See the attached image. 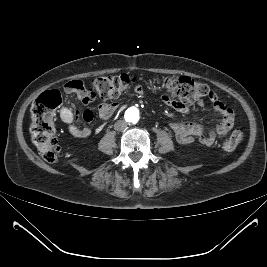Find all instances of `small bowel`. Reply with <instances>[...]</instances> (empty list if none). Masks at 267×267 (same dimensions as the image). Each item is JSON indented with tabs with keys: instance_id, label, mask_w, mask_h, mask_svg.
Wrapping results in <instances>:
<instances>
[{
	"instance_id": "obj_1",
	"label": "small bowel",
	"mask_w": 267,
	"mask_h": 267,
	"mask_svg": "<svg viewBox=\"0 0 267 267\" xmlns=\"http://www.w3.org/2000/svg\"><path fill=\"white\" fill-rule=\"evenodd\" d=\"M136 92L142 93V88L136 86ZM65 92L68 94H74L83 103L88 104L91 100L90 95L86 88L82 85L80 80H72L65 84ZM164 101L174 110L180 113H188V107L180 101H176L169 97L167 94H163ZM215 111L221 116L219 123L214 129L206 130L202 125L196 122H173L170 124V128L175 136V139L181 144H188L194 140L199 141L206 146H213L218 138L223 137L234 124L233 110L220 101L215 94L210 97ZM200 106L204 105V102L200 100L198 102ZM116 110V104H101L98 108V113L101 119H109ZM59 116L63 123L66 124L69 133L76 138H86L91 134L89 127H79L75 124L77 116L75 112L67 107L61 106L59 109ZM83 118L86 122L93 120V112L90 109H86L83 112Z\"/></svg>"
}]
</instances>
